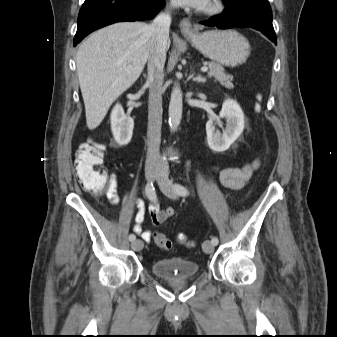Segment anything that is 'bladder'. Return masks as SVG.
I'll return each instance as SVG.
<instances>
[{
  "mask_svg": "<svg viewBox=\"0 0 337 337\" xmlns=\"http://www.w3.org/2000/svg\"><path fill=\"white\" fill-rule=\"evenodd\" d=\"M199 265L182 257L163 258L155 260L151 271L160 278H190L199 273Z\"/></svg>",
  "mask_w": 337,
  "mask_h": 337,
  "instance_id": "31cf9c89",
  "label": "bladder"
}]
</instances>
